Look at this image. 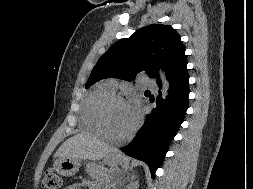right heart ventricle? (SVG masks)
Segmentation results:
<instances>
[{"label": "right heart ventricle", "mask_w": 253, "mask_h": 189, "mask_svg": "<svg viewBox=\"0 0 253 189\" xmlns=\"http://www.w3.org/2000/svg\"><path fill=\"white\" fill-rule=\"evenodd\" d=\"M114 94L108 83L97 85L86 97L81 108V122L85 129L104 135L98 119V109L104 99Z\"/></svg>", "instance_id": "e07e8e85"}]
</instances>
